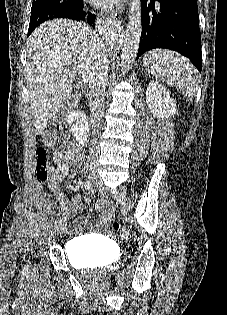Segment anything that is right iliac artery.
<instances>
[{"label":"right iliac artery","instance_id":"82829eb1","mask_svg":"<svg viewBox=\"0 0 227 315\" xmlns=\"http://www.w3.org/2000/svg\"><path fill=\"white\" fill-rule=\"evenodd\" d=\"M84 187H85L86 190L92 189V187H93V182L90 181V180L86 181L85 184H84ZM64 221H66V216L61 217V218L59 219L58 223H62V222H64ZM28 262H29V261H28ZM28 266H29V265H27V267H28Z\"/></svg>","mask_w":227,"mask_h":315}]
</instances>
